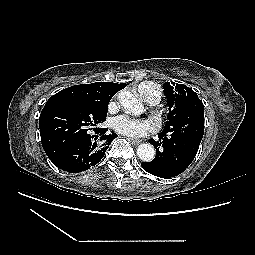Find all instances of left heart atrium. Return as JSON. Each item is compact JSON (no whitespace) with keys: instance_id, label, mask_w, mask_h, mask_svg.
I'll return each instance as SVG.
<instances>
[{"instance_id":"1","label":"left heart atrium","mask_w":255,"mask_h":255,"mask_svg":"<svg viewBox=\"0 0 255 255\" xmlns=\"http://www.w3.org/2000/svg\"><path fill=\"white\" fill-rule=\"evenodd\" d=\"M115 131L132 136L143 137L156 130V123L152 119H140L126 114L116 116L112 120Z\"/></svg>"}]
</instances>
